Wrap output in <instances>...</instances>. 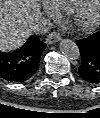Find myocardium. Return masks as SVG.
<instances>
[{
    "label": "myocardium",
    "instance_id": "1",
    "mask_svg": "<svg viewBox=\"0 0 100 118\" xmlns=\"http://www.w3.org/2000/svg\"><path fill=\"white\" fill-rule=\"evenodd\" d=\"M74 12V24L81 30H91L100 20V0H87Z\"/></svg>",
    "mask_w": 100,
    "mask_h": 118
}]
</instances>
